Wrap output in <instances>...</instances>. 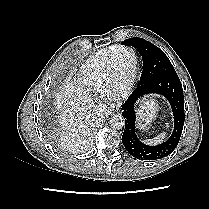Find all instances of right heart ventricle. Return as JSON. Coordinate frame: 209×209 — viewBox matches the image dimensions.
<instances>
[{"mask_svg": "<svg viewBox=\"0 0 209 209\" xmlns=\"http://www.w3.org/2000/svg\"><path fill=\"white\" fill-rule=\"evenodd\" d=\"M119 46H110L92 55L81 67L79 81L81 86L90 93H105L106 68L111 54Z\"/></svg>", "mask_w": 209, "mask_h": 209, "instance_id": "1", "label": "right heart ventricle"}]
</instances>
